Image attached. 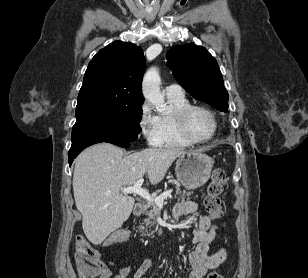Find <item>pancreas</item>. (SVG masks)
<instances>
[{
  "mask_svg": "<svg viewBox=\"0 0 308 278\" xmlns=\"http://www.w3.org/2000/svg\"><path fill=\"white\" fill-rule=\"evenodd\" d=\"M176 195L175 197L180 200L183 198L186 194L189 195L188 192L185 190H181L180 186H176ZM144 208L146 209L145 215L147 216L143 222L139 226V230L142 232H146L148 227H153L156 224V217L159 213V208L154 202L147 201L144 205ZM151 208L150 210H147ZM145 235V234H144Z\"/></svg>",
  "mask_w": 308,
  "mask_h": 278,
  "instance_id": "cf45deb5",
  "label": "pancreas"
}]
</instances>
